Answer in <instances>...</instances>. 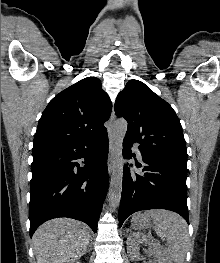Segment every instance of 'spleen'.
<instances>
[{
	"mask_svg": "<svg viewBox=\"0 0 220 263\" xmlns=\"http://www.w3.org/2000/svg\"><path fill=\"white\" fill-rule=\"evenodd\" d=\"M144 216L153 220L156 234L167 240L168 256L175 263H183L189 244L186 221L168 210H150L145 212Z\"/></svg>",
	"mask_w": 220,
	"mask_h": 263,
	"instance_id": "obj_1",
	"label": "spleen"
}]
</instances>
